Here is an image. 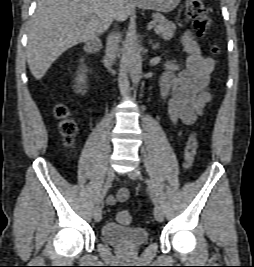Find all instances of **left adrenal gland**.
<instances>
[{
	"label": "left adrenal gland",
	"mask_w": 254,
	"mask_h": 267,
	"mask_svg": "<svg viewBox=\"0 0 254 267\" xmlns=\"http://www.w3.org/2000/svg\"><path fill=\"white\" fill-rule=\"evenodd\" d=\"M149 44L152 46L153 49H157L159 46V43H153L151 39H149Z\"/></svg>",
	"instance_id": "a2214340"
}]
</instances>
